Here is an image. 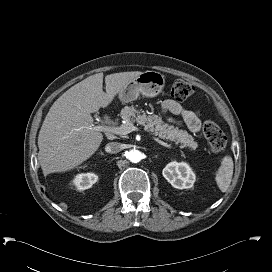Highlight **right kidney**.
Returning <instances> with one entry per match:
<instances>
[{
    "label": "right kidney",
    "instance_id": "ca27d5eb",
    "mask_svg": "<svg viewBox=\"0 0 272 272\" xmlns=\"http://www.w3.org/2000/svg\"><path fill=\"white\" fill-rule=\"evenodd\" d=\"M98 180V176L94 173H81L77 174L73 179V184L78 190H86Z\"/></svg>",
    "mask_w": 272,
    "mask_h": 272
}]
</instances>
